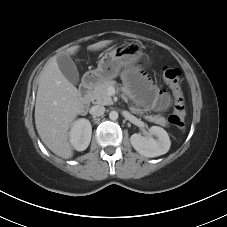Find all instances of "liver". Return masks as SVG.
<instances>
[{"mask_svg":"<svg viewBox=\"0 0 227 227\" xmlns=\"http://www.w3.org/2000/svg\"><path fill=\"white\" fill-rule=\"evenodd\" d=\"M111 42L100 41L87 49L99 50ZM78 49L79 46H73L62 53L74 54ZM57 57L47 62L39 77L35 125L42 142L57 156L69 159L73 157L69 129L83 105L77 88L61 72Z\"/></svg>","mask_w":227,"mask_h":227,"instance_id":"6515ba94","label":"liver"}]
</instances>
